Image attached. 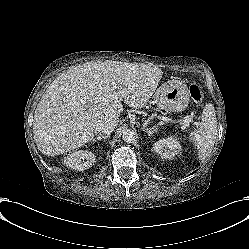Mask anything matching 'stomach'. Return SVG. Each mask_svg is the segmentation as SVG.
<instances>
[{
    "mask_svg": "<svg viewBox=\"0 0 249 249\" xmlns=\"http://www.w3.org/2000/svg\"><path fill=\"white\" fill-rule=\"evenodd\" d=\"M154 100L161 109L176 113L188 106L190 96L185 84L172 81L157 89Z\"/></svg>",
    "mask_w": 249,
    "mask_h": 249,
    "instance_id": "1",
    "label": "stomach"
}]
</instances>
